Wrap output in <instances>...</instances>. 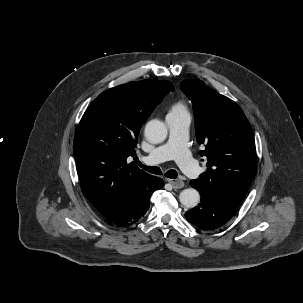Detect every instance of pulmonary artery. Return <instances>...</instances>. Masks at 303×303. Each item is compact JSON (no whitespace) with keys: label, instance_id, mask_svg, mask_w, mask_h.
<instances>
[{"label":"pulmonary artery","instance_id":"1","mask_svg":"<svg viewBox=\"0 0 303 303\" xmlns=\"http://www.w3.org/2000/svg\"><path fill=\"white\" fill-rule=\"evenodd\" d=\"M166 123L169 129L166 143L142 157L143 162L154 165L167 160H175L189 177L197 178L200 175V168L187 147L190 116L188 114L169 115L166 117Z\"/></svg>","mask_w":303,"mask_h":303}]
</instances>
